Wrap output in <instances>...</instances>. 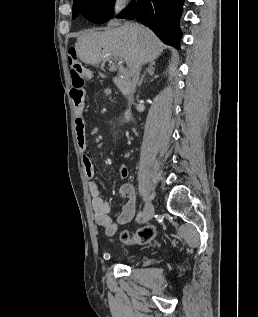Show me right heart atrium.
Segmentation results:
<instances>
[{"label":"right heart atrium","instance_id":"1","mask_svg":"<svg viewBox=\"0 0 258 317\" xmlns=\"http://www.w3.org/2000/svg\"><path fill=\"white\" fill-rule=\"evenodd\" d=\"M128 2L126 0H114L110 5V10L113 16H120L127 8Z\"/></svg>","mask_w":258,"mask_h":317}]
</instances>
